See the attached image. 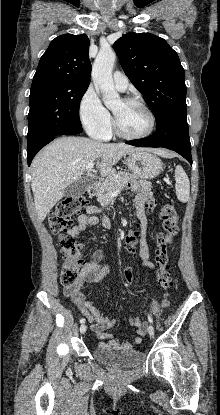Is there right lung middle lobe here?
I'll list each match as a JSON object with an SVG mask.
<instances>
[{
	"label": "right lung middle lobe",
	"mask_w": 220,
	"mask_h": 415,
	"mask_svg": "<svg viewBox=\"0 0 220 415\" xmlns=\"http://www.w3.org/2000/svg\"><path fill=\"white\" fill-rule=\"evenodd\" d=\"M88 85L62 81L32 82L29 96L27 150L47 136L82 131L79 106Z\"/></svg>",
	"instance_id": "dd1d6c3e"
}]
</instances>
